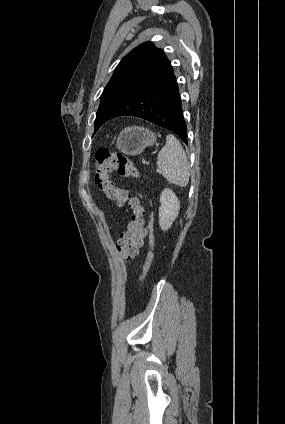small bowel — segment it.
Listing matches in <instances>:
<instances>
[{
    "mask_svg": "<svg viewBox=\"0 0 285 424\" xmlns=\"http://www.w3.org/2000/svg\"><path fill=\"white\" fill-rule=\"evenodd\" d=\"M138 253H139V249L137 250L136 255H138ZM136 255H135V256H136Z\"/></svg>",
    "mask_w": 285,
    "mask_h": 424,
    "instance_id": "1",
    "label": "small bowel"
}]
</instances>
